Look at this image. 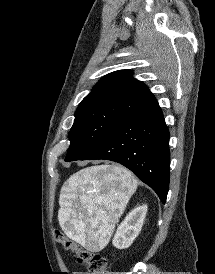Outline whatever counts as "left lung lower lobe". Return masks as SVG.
Listing matches in <instances>:
<instances>
[{"label": "left lung lower lobe", "mask_w": 215, "mask_h": 274, "mask_svg": "<svg viewBox=\"0 0 215 274\" xmlns=\"http://www.w3.org/2000/svg\"><path fill=\"white\" fill-rule=\"evenodd\" d=\"M169 131L155 101L113 129L79 160H111L130 169L163 204L169 189Z\"/></svg>", "instance_id": "0a47b994"}]
</instances>
